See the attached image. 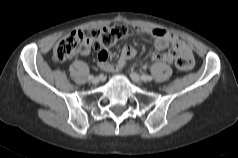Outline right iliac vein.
<instances>
[{
  "label": "right iliac vein",
  "mask_w": 238,
  "mask_h": 158,
  "mask_svg": "<svg viewBox=\"0 0 238 158\" xmlns=\"http://www.w3.org/2000/svg\"><path fill=\"white\" fill-rule=\"evenodd\" d=\"M92 83L93 84H98L99 83V78L98 77L93 78Z\"/></svg>",
  "instance_id": "63e3f726"
}]
</instances>
